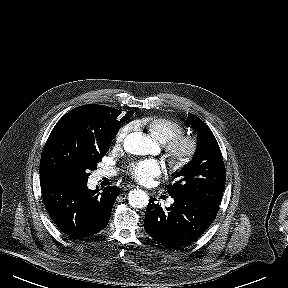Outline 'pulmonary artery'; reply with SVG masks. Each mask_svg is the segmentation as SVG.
I'll return each mask as SVG.
<instances>
[{
	"instance_id": "obj_1",
	"label": "pulmonary artery",
	"mask_w": 288,
	"mask_h": 288,
	"mask_svg": "<svg viewBox=\"0 0 288 288\" xmlns=\"http://www.w3.org/2000/svg\"><path fill=\"white\" fill-rule=\"evenodd\" d=\"M115 174V170L111 169V168H103L101 170H99L96 174V177L98 179L102 178V177H108V176H112Z\"/></svg>"
}]
</instances>
